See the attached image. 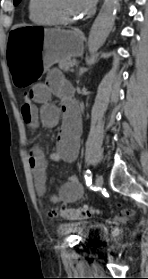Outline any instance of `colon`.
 Listing matches in <instances>:
<instances>
[{"label":"colon","instance_id":"obj_1","mask_svg":"<svg viewBox=\"0 0 148 279\" xmlns=\"http://www.w3.org/2000/svg\"><path fill=\"white\" fill-rule=\"evenodd\" d=\"M32 101L31 91H26L24 93V104L29 105ZM95 213V210L90 208H62L60 210L54 211L51 213L52 217H60L64 219L78 220L83 218H88ZM125 215H132L131 210H124Z\"/></svg>","mask_w":148,"mask_h":279}]
</instances>
